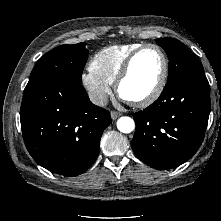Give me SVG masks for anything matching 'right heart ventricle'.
Wrapping results in <instances>:
<instances>
[{
    "label": "right heart ventricle",
    "instance_id": "1",
    "mask_svg": "<svg viewBox=\"0 0 221 221\" xmlns=\"http://www.w3.org/2000/svg\"><path fill=\"white\" fill-rule=\"evenodd\" d=\"M142 43L132 42L108 46L98 51L90 61V69L110 84L115 80L129 54Z\"/></svg>",
    "mask_w": 221,
    "mask_h": 221
}]
</instances>
